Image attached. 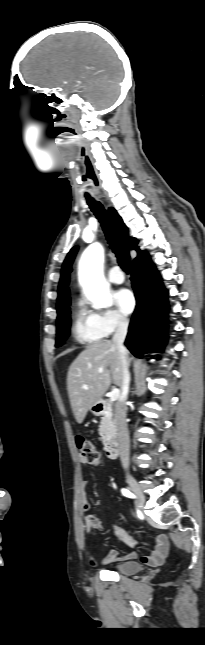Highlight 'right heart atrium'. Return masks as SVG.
Segmentation results:
<instances>
[{
	"mask_svg": "<svg viewBox=\"0 0 205 645\" xmlns=\"http://www.w3.org/2000/svg\"><path fill=\"white\" fill-rule=\"evenodd\" d=\"M95 321L105 336L111 335L118 330H123L129 325L128 318L114 309H106L96 313Z\"/></svg>",
	"mask_w": 205,
	"mask_h": 645,
	"instance_id": "d8ad5b80",
	"label": "right heart atrium"
}]
</instances>
